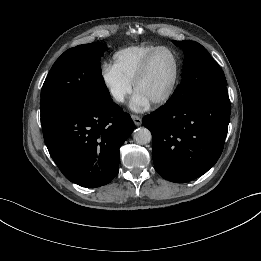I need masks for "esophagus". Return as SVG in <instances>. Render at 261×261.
Segmentation results:
<instances>
[{"mask_svg": "<svg viewBox=\"0 0 261 261\" xmlns=\"http://www.w3.org/2000/svg\"><path fill=\"white\" fill-rule=\"evenodd\" d=\"M131 118L136 126L141 125L142 119L138 115H132Z\"/></svg>", "mask_w": 261, "mask_h": 261, "instance_id": "34e87169", "label": "esophagus"}]
</instances>
